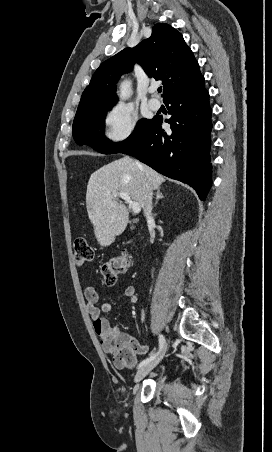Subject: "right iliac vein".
I'll return each instance as SVG.
<instances>
[{"mask_svg":"<svg viewBox=\"0 0 272 452\" xmlns=\"http://www.w3.org/2000/svg\"><path fill=\"white\" fill-rule=\"evenodd\" d=\"M166 352V345L164 346L161 354L154 359L153 361H150L149 363L143 365L136 373L134 377V382L138 383L140 382L152 369H154L158 363L162 360L164 354Z\"/></svg>","mask_w":272,"mask_h":452,"instance_id":"1","label":"right iliac vein"}]
</instances>
